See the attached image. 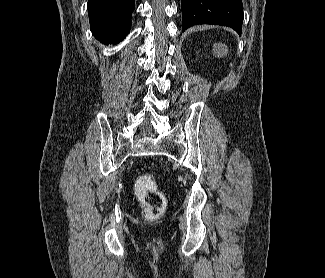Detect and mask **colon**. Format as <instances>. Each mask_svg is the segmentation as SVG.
I'll return each instance as SVG.
<instances>
[{
    "mask_svg": "<svg viewBox=\"0 0 325 278\" xmlns=\"http://www.w3.org/2000/svg\"><path fill=\"white\" fill-rule=\"evenodd\" d=\"M136 195L144 205L147 220L158 219L165 210L166 198L150 175L138 177L134 184Z\"/></svg>",
    "mask_w": 325,
    "mask_h": 278,
    "instance_id": "1",
    "label": "colon"
}]
</instances>
